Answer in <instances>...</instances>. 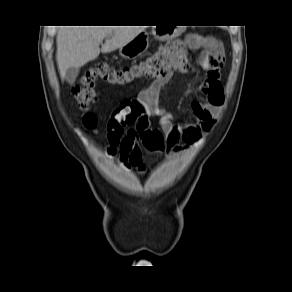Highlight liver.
<instances>
[{
  "mask_svg": "<svg viewBox=\"0 0 292 292\" xmlns=\"http://www.w3.org/2000/svg\"><path fill=\"white\" fill-rule=\"evenodd\" d=\"M144 28L139 26H61L57 33V64L62 79L67 69L82 67L132 41ZM107 38L100 49L99 44Z\"/></svg>",
  "mask_w": 292,
  "mask_h": 292,
  "instance_id": "1",
  "label": "liver"
}]
</instances>
